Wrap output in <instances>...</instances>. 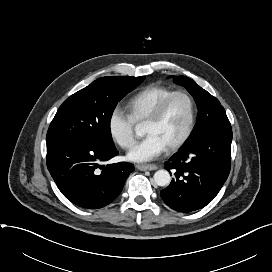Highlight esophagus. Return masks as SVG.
<instances>
[{"label": "esophagus", "mask_w": 272, "mask_h": 272, "mask_svg": "<svg viewBox=\"0 0 272 272\" xmlns=\"http://www.w3.org/2000/svg\"><path fill=\"white\" fill-rule=\"evenodd\" d=\"M136 168L138 170H141V171H146V170H156L157 169V166L154 165V164H148V165H145V164H139L136 166Z\"/></svg>", "instance_id": "obj_1"}]
</instances>
